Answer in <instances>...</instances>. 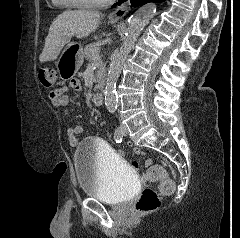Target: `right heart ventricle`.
<instances>
[{
	"label": "right heart ventricle",
	"mask_w": 240,
	"mask_h": 238,
	"mask_svg": "<svg viewBox=\"0 0 240 238\" xmlns=\"http://www.w3.org/2000/svg\"><path fill=\"white\" fill-rule=\"evenodd\" d=\"M51 1L55 6L70 7V6L66 5L62 0H51Z\"/></svg>",
	"instance_id": "obj_1"
}]
</instances>
